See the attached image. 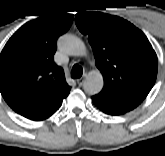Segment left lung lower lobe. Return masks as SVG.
I'll return each instance as SVG.
<instances>
[{
    "mask_svg": "<svg viewBox=\"0 0 165 156\" xmlns=\"http://www.w3.org/2000/svg\"><path fill=\"white\" fill-rule=\"evenodd\" d=\"M92 101L101 111L109 115H122L128 112L98 94L92 96Z\"/></svg>",
    "mask_w": 165,
    "mask_h": 156,
    "instance_id": "obj_1",
    "label": "left lung lower lobe"
}]
</instances>
